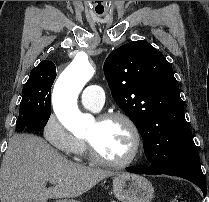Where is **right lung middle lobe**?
<instances>
[{
    "mask_svg": "<svg viewBox=\"0 0 209 202\" xmlns=\"http://www.w3.org/2000/svg\"><path fill=\"white\" fill-rule=\"evenodd\" d=\"M56 76H35L29 78L22 90L18 132L24 129L37 131L45 127L51 114V87Z\"/></svg>",
    "mask_w": 209,
    "mask_h": 202,
    "instance_id": "right-lung-middle-lobe-1",
    "label": "right lung middle lobe"
}]
</instances>
